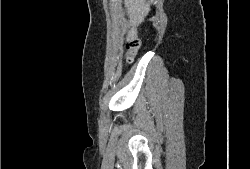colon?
<instances>
[{"label":"colon","mask_w":250,"mask_h":169,"mask_svg":"<svg viewBox=\"0 0 250 169\" xmlns=\"http://www.w3.org/2000/svg\"><path fill=\"white\" fill-rule=\"evenodd\" d=\"M141 49V40L140 38H131L126 46L125 62L131 63L136 54Z\"/></svg>","instance_id":"1"}]
</instances>
